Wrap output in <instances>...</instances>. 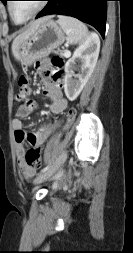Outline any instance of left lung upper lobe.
Masks as SVG:
<instances>
[{
	"mask_svg": "<svg viewBox=\"0 0 133 253\" xmlns=\"http://www.w3.org/2000/svg\"><path fill=\"white\" fill-rule=\"evenodd\" d=\"M0 1H2L4 3V5H5L8 0H0Z\"/></svg>",
	"mask_w": 133,
	"mask_h": 253,
	"instance_id": "5c2ea615",
	"label": "left lung upper lobe"
}]
</instances>
